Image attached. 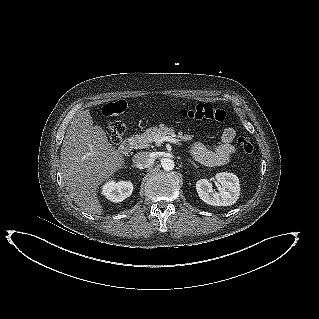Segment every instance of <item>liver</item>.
<instances>
[{"instance_id": "obj_1", "label": "liver", "mask_w": 319, "mask_h": 319, "mask_svg": "<svg viewBox=\"0 0 319 319\" xmlns=\"http://www.w3.org/2000/svg\"><path fill=\"white\" fill-rule=\"evenodd\" d=\"M124 163L105 131L93 126L89 110L77 112L67 128L60 153L65 189L74 203L89 214L103 213L98 187Z\"/></svg>"}]
</instances>
